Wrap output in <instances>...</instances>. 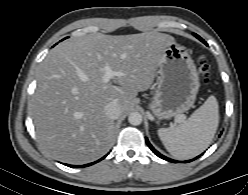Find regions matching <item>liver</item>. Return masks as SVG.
Wrapping results in <instances>:
<instances>
[{
  "label": "liver",
  "mask_w": 248,
  "mask_h": 195,
  "mask_svg": "<svg viewBox=\"0 0 248 195\" xmlns=\"http://www.w3.org/2000/svg\"><path fill=\"white\" fill-rule=\"evenodd\" d=\"M172 36L156 31L131 35L89 34L54 47L40 64L30 112L37 138L55 159L92 162L106 154L114 137L104 107L116 101L122 113L148 90ZM122 72L103 82L104 67ZM117 84V85H114Z\"/></svg>",
  "instance_id": "liver-1"
}]
</instances>
